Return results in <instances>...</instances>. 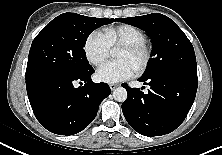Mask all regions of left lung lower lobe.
I'll list each match as a JSON object with an SVG mask.
<instances>
[{
	"label": "left lung lower lobe",
	"instance_id": "0a47b994",
	"mask_svg": "<svg viewBox=\"0 0 222 155\" xmlns=\"http://www.w3.org/2000/svg\"><path fill=\"white\" fill-rule=\"evenodd\" d=\"M138 81L150 86L148 93L122 84L128 92L122 111L130 126L148 137L168 134L179 127L194 102L197 76L172 71L143 75Z\"/></svg>",
	"mask_w": 222,
	"mask_h": 155
}]
</instances>
